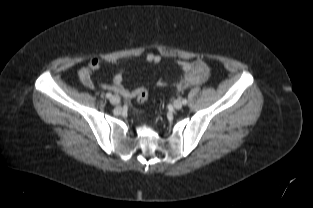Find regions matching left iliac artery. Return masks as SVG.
Wrapping results in <instances>:
<instances>
[{
    "label": "left iliac artery",
    "mask_w": 313,
    "mask_h": 208,
    "mask_svg": "<svg viewBox=\"0 0 313 208\" xmlns=\"http://www.w3.org/2000/svg\"><path fill=\"white\" fill-rule=\"evenodd\" d=\"M182 103L185 105L187 104V99H182Z\"/></svg>",
    "instance_id": "left-iliac-artery-1"
}]
</instances>
